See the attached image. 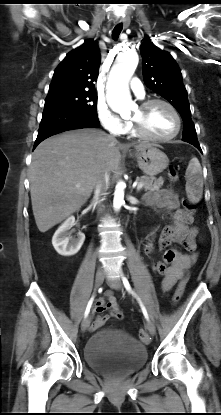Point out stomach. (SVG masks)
<instances>
[{
	"mask_svg": "<svg viewBox=\"0 0 221 415\" xmlns=\"http://www.w3.org/2000/svg\"><path fill=\"white\" fill-rule=\"evenodd\" d=\"M130 155L136 158L143 173L150 177L163 172L169 164L167 155L154 145H148Z\"/></svg>",
	"mask_w": 221,
	"mask_h": 415,
	"instance_id": "0dacf381",
	"label": "stomach"
}]
</instances>
